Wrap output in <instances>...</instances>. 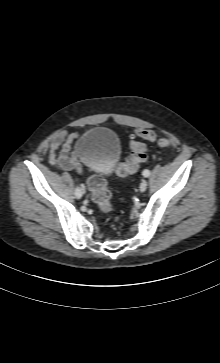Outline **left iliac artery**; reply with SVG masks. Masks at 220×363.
<instances>
[{"label":"left iliac artery","instance_id":"left-iliac-artery-1","mask_svg":"<svg viewBox=\"0 0 220 363\" xmlns=\"http://www.w3.org/2000/svg\"><path fill=\"white\" fill-rule=\"evenodd\" d=\"M142 175H143L144 177H149V176H150V171H149V170H147V169H145V170L142 172Z\"/></svg>","mask_w":220,"mask_h":363}]
</instances>
